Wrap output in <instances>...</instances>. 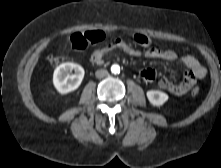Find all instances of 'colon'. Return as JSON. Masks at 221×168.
<instances>
[{
	"label": "colon",
	"mask_w": 221,
	"mask_h": 168,
	"mask_svg": "<svg viewBox=\"0 0 221 168\" xmlns=\"http://www.w3.org/2000/svg\"><path fill=\"white\" fill-rule=\"evenodd\" d=\"M104 34L101 31H89V32H78L71 36V46L76 50H83L89 45L97 44L103 41ZM135 42L143 47L150 45V39L144 34H136L134 36ZM48 62L51 65H57L61 62V57L51 54L48 56ZM199 93V88L194 87L191 91V94L196 96Z\"/></svg>",
	"instance_id": "5ec220e1"
}]
</instances>
